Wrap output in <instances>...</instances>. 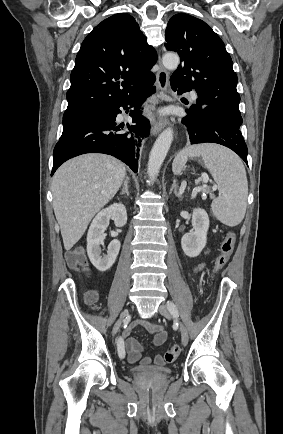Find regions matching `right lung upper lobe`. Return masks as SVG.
<instances>
[{
	"label": "right lung upper lobe",
	"instance_id": "right-lung-upper-lobe-1",
	"mask_svg": "<svg viewBox=\"0 0 283 434\" xmlns=\"http://www.w3.org/2000/svg\"><path fill=\"white\" fill-rule=\"evenodd\" d=\"M156 61L155 49L131 15L105 19L84 39L76 56L63 120L101 113L125 99L153 75L150 69Z\"/></svg>",
	"mask_w": 283,
	"mask_h": 434
}]
</instances>
